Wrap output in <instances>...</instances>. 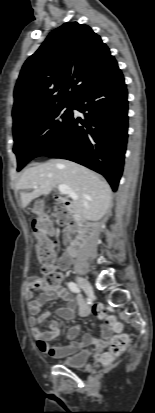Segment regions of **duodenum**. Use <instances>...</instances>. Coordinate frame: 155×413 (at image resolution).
Returning a JSON list of instances; mask_svg holds the SVG:
<instances>
[{
  "label": "duodenum",
  "mask_w": 155,
  "mask_h": 413,
  "mask_svg": "<svg viewBox=\"0 0 155 413\" xmlns=\"http://www.w3.org/2000/svg\"><path fill=\"white\" fill-rule=\"evenodd\" d=\"M55 199L58 200V201H61V203H62L66 208H69V209L73 212L74 217L77 218V215H76L75 212H74L72 203H71L69 200H67V199H61L59 195H55ZM66 252H67V254L70 255V256L75 255V253L77 252V246H76V245H69V246L66 248Z\"/></svg>",
  "instance_id": "410a0bca"
}]
</instances>
